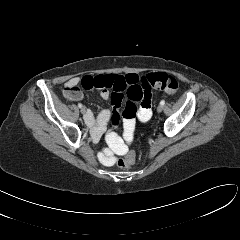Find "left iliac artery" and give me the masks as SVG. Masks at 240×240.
Masks as SVG:
<instances>
[{"mask_svg":"<svg viewBox=\"0 0 240 240\" xmlns=\"http://www.w3.org/2000/svg\"><path fill=\"white\" fill-rule=\"evenodd\" d=\"M165 104V100H161V102H160V105H164Z\"/></svg>","mask_w":240,"mask_h":240,"instance_id":"44dca946","label":"left iliac artery"}]
</instances>
